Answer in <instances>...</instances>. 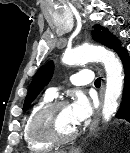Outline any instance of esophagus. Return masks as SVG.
<instances>
[{"mask_svg":"<svg viewBox=\"0 0 130 153\" xmlns=\"http://www.w3.org/2000/svg\"><path fill=\"white\" fill-rule=\"evenodd\" d=\"M104 85H102V88H101V91H100V105L97 109V112L95 114V117H94V120L90 126V132H92L93 130H95V128L97 127L98 125V122L100 120V115H101V109H102V106H103V99H104ZM73 153H76V150H72Z\"/></svg>","mask_w":130,"mask_h":153,"instance_id":"esophagus-1","label":"esophagus"}]
</instances>
